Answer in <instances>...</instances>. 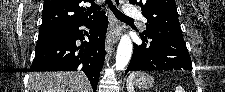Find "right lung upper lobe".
<instances>
[{"label": "right lung upper lobe", "mask_w": 225, "mask_h": 92, "mask_svg": "<svg viewBox=\"0 0 225 92\" xmlns=\"http://www.w3.org/2000/svg\"><path fill=\"white\" fill-rule=\"evenodd\" d=\"M89 2L90 8H83L80 4ZM98 5L94 0H44L42 10V24L40 28L64 27L71 28L88 22L96 17ZM92 12H94L93 15Z\"/></svg>", "instance_id": "right-lung-upper-lobe-1"}]
</instances>
